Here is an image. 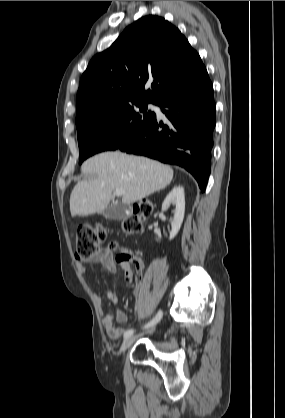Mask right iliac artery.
<instances>
[{
    "instance_id": "82829eb1",
    "label": "right iliac artery",
    "mask_w": 285,
    "mask_h": 418,
    "mask_svg": "<svg viewBox=\"0 0 285 418\" xmlns=\"http://www.w3.org/2000/svg\"><path fill=\"white\" fill-rule=\"evenodd\" d=\"M161 317H162V311H159L157 314H156V316L148 323V324H146L145 326H144V328L146 329V328H149V327H152V326H154L158 321H160V319H161ZM134 333V330L133 329H129V330H127L126 332H125V334H124V339H126V338H128L129 336H131L132 334Z\"/></svg>"
}]
</instances>
